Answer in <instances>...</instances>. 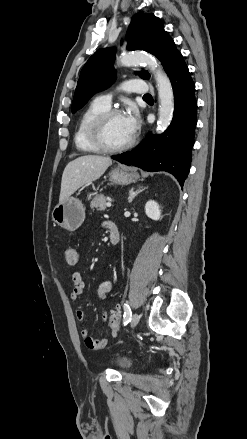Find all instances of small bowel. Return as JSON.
Returning <instances> with one entry per match:
<instances>
[{
  "label": "small bowel",
  "mask_w": 247,
  "mask_h": 439,
  "mask_svg": "<svg viewBox=\"0 0 247 439\" xmlns=\"http://www.w3.org/2000/svg\"><path fill=\"white\" fill-rule=\"evenodd\" d=\"M105 227L108 229V223H105ZM73 289L70 294L72 300H77L84 292L85 282L80 272H74L72 274ZM113 282L106 280L99 285L98 296L101 299H105L108 293L111 291ZM76 320L80 324V335L84 340L87 348L91 350H100L107 345V339H96L89 335L87 328L84 326V312L82 309H77L75 312ZM106 314L104 315V319Z\"/></svg>",
  "instance_id": "1"
}]
</instances>
